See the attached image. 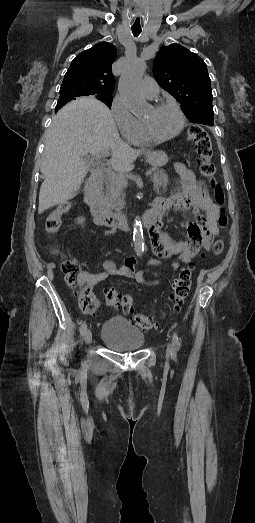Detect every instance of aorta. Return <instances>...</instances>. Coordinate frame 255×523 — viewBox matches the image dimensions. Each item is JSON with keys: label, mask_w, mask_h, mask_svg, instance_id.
Returning <instances> with one entry per match:
<instances>
[{"label": "aorta", "mask_w": 255, "mask_h": 523, "mask_svg": "<svg viewBox=\"0 0 255 523\" xmlns=\"http://www.w3.org/2000/svg\"><path fill=\"white\" fill-rule=\"evenodd\" d=\"M146 63L144 60L136 59L130 61L120 77L118 90L126 107L138 115L145 111L146 102L140 92L139 84L145 73ZM133 243L136 254L144 252L143 229L139 216L133 223Z\"/></svg>", "instance_id": "obj_1"}]
</instances>
